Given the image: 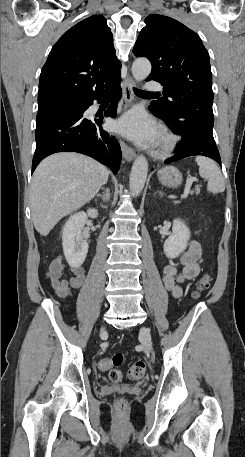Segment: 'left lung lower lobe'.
Segmentation results:
<instances>
[{"instance_id": "1", "label": "left lung lower lobe", "mask_w": 245, "mask_h": 457, "mask_svg": "<svg viewBox=\"0 0 245 457\" xmlns=\"http://www.w3.org/2000/svg\"><path fill=\"white\" fill-rule=\"evenodd\" d=\"M149 109L156 117L165 120L174 133L182 136V141L177 144L178 152L172 158L165 160V164L189 156L202 155L214 159L221 165L219 151L212 132L213 112L201 110L180 112L166 118L158 112L153 102Z\"/></svg>"}]
</instances>
